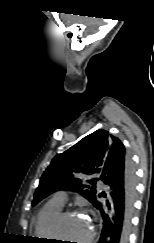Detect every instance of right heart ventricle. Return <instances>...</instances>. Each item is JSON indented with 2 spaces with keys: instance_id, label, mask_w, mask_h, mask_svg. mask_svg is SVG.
Segmentation results:
<instances>
[{
  "instance_id": "obj_1",
  "label": "right heart ventricle",
  "mask_w": 154,
  "mask_h": 243,
  "mask_svg": "<svg viewBox=\"0 0 154 243\" xmlns=\"http://www.w3.org/2000/svg\"><path fill=\"white\" fill-rule=\"evenodd\" d=\"M63 206L50 200L40 210L36 223L35 234L42 239H53L51 236V222L62 211Z\"/></svg>"
}]
</instances>
